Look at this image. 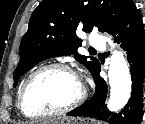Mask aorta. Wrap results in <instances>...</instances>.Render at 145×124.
<instances>
[{"instance_id": "obj_1", "label": "aorta", "mask_w": 145, "mask_h": 124, "mask_svg": "<svg viewBox=\"0 0 145 124\" xmlns=\"http://www.w3.org/2000/svg\"><path fill=\"white\" fill-rule=\"evenodd\" d=\"M110 98L107 107L110 111L121 110L129 101L132 91V81L129 65L124 54L114 51L109 63Z\"/></svg>"}]
</instances>
